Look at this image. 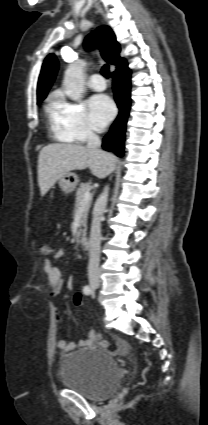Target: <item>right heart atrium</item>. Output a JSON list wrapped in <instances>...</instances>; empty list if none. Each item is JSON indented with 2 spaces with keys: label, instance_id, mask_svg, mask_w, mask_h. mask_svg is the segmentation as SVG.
Segmentation results:
<instances>
[{
  "label": "right heart atrium",
  "instance_id": "1",
  "mask_svg": "<svg viewBox=\"0 0 208 425\" xmlns=\"http://www.w3.org/2000/svg\"><path fill=\"white\" fill-rule=\"evenodd\" d=\"M54 108L58 127L73 141L83 143L95 136L86 109L81 103L71 102L63 94H58Z\"/></svg>",
  "mask_w": 208,
  "mask_h": 425
}]
</instances>
